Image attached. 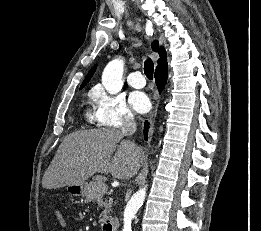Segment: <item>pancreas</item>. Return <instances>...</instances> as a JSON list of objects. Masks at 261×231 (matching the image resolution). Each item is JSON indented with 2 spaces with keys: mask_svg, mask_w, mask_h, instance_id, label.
<instances>
[{
  "mask_svg": "<svg viewBox=\"0 0 261 231\" xmlns=\"http://www.w3.org/2000/svg\"><path fill=\"white\" fill-rule=\"evenodd\" d=\"M104 185L105 183L103 177L101 176L94 177L93 181L86 186V191L84 196L87 198L88 201L95 202L98 196L105 194L106 191L103 192L101 189V187H103ZM112 203L113 201L111 198H109V200L104 201L105 209L100 215V222H104L109 218Z\"/></svg>",
  "mask_w": 261,
  "mask_h": 231,
  "instance_id": "pancreas-1",
  "label": "pancreas"
}]
</instances>
